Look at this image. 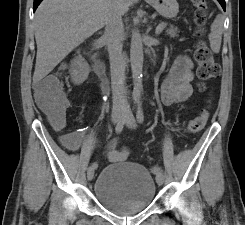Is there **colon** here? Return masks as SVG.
Wrapping results in <instances>:
<instances>
[{
	"label": "colon",
	"instance_id": "1",
	"mask_svg": "<svg viewBox=\"0 0 245 225\" xmlns=\"http://www.w3.org/2000/svg\"><path fill=\"white\" fill-rule=\"evenodd\" d=\"M195 16L198 26L195 29L197 34H201V25L205 22L204 11L206 9L205 0H193ZM194 59L197 64L198 75L203 80H211L219 76L220 68L215 62L213 54L209 47L198 42L194 50ZM37 103L50 115L61 116L66 108L69 107L68 99L64 93L63 82L60 78H45L36 91ZM209 116V109L205 108L201 113L190 119L187 126V132L197 133L206 125ZM64 143L68 144L70 139L65 137Z\"/></svg>",
	"mask_w": 245,
	"mask_h": 225
}]
</instances>
